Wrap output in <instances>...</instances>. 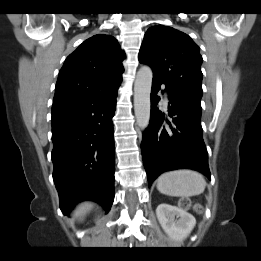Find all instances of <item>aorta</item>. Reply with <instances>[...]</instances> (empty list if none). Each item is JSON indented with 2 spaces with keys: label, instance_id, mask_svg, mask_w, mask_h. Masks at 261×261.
Here are the masks:
<instances>
[{
  "label": "aorta",
  "instance_id": "obj_1",
  "mask_svg": "<svg viewBox=\"0 0 261 261\" xmlns=\"http://www.w3.org/2000/svg\"><path fill=\"white\" fill-rule=\"evenodd\" d=\"M153 73L150 67L142 66L136 75L134 84V111L137 124L145 129L150 121V94Z\"/></svg>",
  "mask_w": 261,
  "mask_h": 261
}]
</instances>
